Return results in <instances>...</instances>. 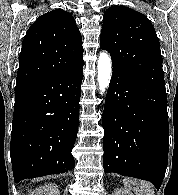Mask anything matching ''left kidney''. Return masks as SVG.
Returning a JSON list of instances; mask_svg holds the SVG:
<instances>
[{
    "label": "left kidney",
    "mask_w": 178,
    "mask_h": 195,
    "mask_svg": "<svg viewBox=\"0 0 178 195\" xmlns=\"http://www.w3.org/2000/svg\"><path fill=\"white\" fill-rule=\"evenodd\" d=\"M111 195H133V194L125 188H116Z\"/></svg>",
    "instance_id": "1"
}]
</instances>
